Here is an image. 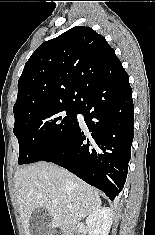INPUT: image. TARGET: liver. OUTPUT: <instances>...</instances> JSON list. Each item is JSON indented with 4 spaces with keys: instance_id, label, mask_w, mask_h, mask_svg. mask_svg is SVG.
Segmentation results:
<instances>
[{
    "instance_id": "liver-1",
    "label": "liver",
    "mask_w": 155,
    "mask_h": 235,
    "mask_svg": "<svg viewBox=\"0 0 155 235\" xmlns=\"http://www.w3.org/2000/svg\"><path fill=\"white\" fill-rule=\"evenodd\" d=\"M17 201L25 230L37 208L51 215L52 228L74 227L101 207L98 192L80 178L52 163L38 162L14 174Z\"/></svg>"
}]
</instances>
